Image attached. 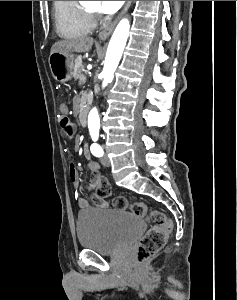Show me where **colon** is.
I'll list each match as a JSON object with an SVG mask.
<instances>
[{
  "instance_id": "1",
  "label": "colon",
  "mask_w": 237,
  "mask_h": 300,
  "mask_svg": "<svg viewBox=\"0 0 237 300\" xmlns=\"http://www.w3.org/2000/svg\"><path fill=\"white\" fill-rule=\"evenodd\" d=\"M59 125L65 136L68 138L74 136V125L65 114L59 117ZM111 194L112 190L109 182L105 178L100 177L97 180L95 195L104 199L110 197ZM112 203L116 209L129 210L139 217H147L149 213L148 207L144 202L138 201L131 204L124 196L115 197ZM151 218L153 224L140 240L136 250V260L139 263H144L154 257L164 247L171 232V221L162 213L153 211Z\"/></svg>"
}]
</instances>
